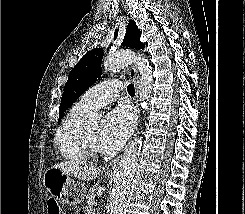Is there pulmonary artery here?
<instances>
[{
	"label": "pulmonary artery",
	"mask_w": 245,
	"mask_h": 214,
	"mask_svg": "<svg viewBox=\"0 0 245 214\" xmlns=\"http://www.w3.org/2000/svg\"><path fill=\"white\" fill-rule=\"evenodd\" d=\"M121 82L117 79L103 81L85 92L80 102L88 109L95 110L117 99Z\"/></svg>",
	"instance_id": "e3ab8cb5"
}]
</instances>
